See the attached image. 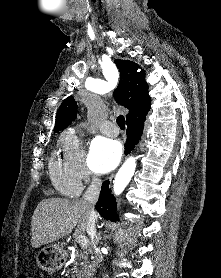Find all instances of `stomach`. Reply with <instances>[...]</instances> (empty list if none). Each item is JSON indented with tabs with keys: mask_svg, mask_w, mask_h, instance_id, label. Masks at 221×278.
<instances>
[{
	"mask_svg": "<svg viewBox=\"0 0 221 278\" xmlns=\"http://www.w3.org/2000/svg\"><path fill=\"white\" fill-rule=\"evenodd\" d=\"M36 260L43 270L56 272L65 264L66 256L58 245H49L39 251Z\"/></svg>",
	"mask_w": 221,
	"mask_h": 278,
	"instance_id": "obj_1",
	"label": "stomach"
}]
</instances>
